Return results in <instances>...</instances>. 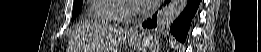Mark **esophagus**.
I'll use <instances>...</instances> for the list:
<instances>
[{"label":"esophagus","mask_w":261,"mask_h":52,"mask_svg":"<svg viewBox=\"0 0 261 52\" xmlns=\"http://www.w3.org/2000/svg\"><path fill=\"white\" fill-rule=\"evenodd\" d=\"M141 32V27L140 26H135V27H131L128 31V35H138Z\"/></svg>","instance_id":"obj_1"}]
</instances>
